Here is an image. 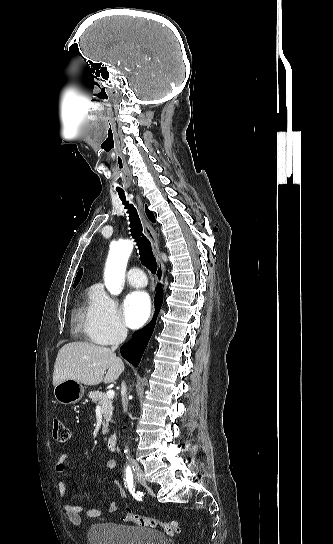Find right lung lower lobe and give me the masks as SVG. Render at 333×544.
<instances>
[{
  "label": "right lung lower lobe",
  "instance_id": "1",
  "mask_svg": "<svg viewBox=\"0 0 333 544\" xmlns=\"http://www.w3.org/2000/svg\"><path fill=\"white\" fill-rule=\"evenodd\" d=\"M162 304V290H159L155 297L156 310L159 311ZM155 326V319L141 331L137 332L130 342L120 348L121 355L135 367L140 363L143 352L149 342Z\"/></svg>",
  "mask_w": 333,
  "mask_h": 544
}]
</instances>
